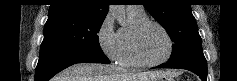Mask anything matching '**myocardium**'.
<instances>
[{
    "mask_svg": "<svg viewBox=\"0 0 237 81\" xmlns=\"http://www.w3.org/2000/svg\"><path fill=\"white\" fill-rule=\"evenodd\" d=\"M149 26H155L158 29H160L168 41L167 55L163 59L159 61H155V62H150V61L145 60L140 52L139 41H140L141 34ZM129 40H130V47H131L133 58L140 66H144V67H156V66L166 63L171 58L174 51V43H173L172 37L170 36L169 32L165 29V27L156 21H152L148 19L139 24L134 25L131 28Z\"/></svg>",
    "mask_w": 237,
    "mask_h": 81,
    "instance_id": "1",
    "label": "myocardium"
}]
</instances>
